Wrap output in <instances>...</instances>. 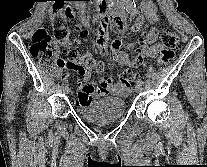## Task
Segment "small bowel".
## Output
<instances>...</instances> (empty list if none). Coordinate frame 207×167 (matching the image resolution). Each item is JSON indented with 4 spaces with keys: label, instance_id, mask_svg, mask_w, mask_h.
<instances>
[{
    "label": "small bowel",
    "instance_id": "1",
    "mask_svg": "<svg viewBox=\"0 0 207 167\" xmlns=\"http://www.w3.org/2000/svg\"><path fill=\"white\" fill-rule=\"evenodd\" d=\"M158 20V16L155 11V7L152 3H145L142 5V15L135 21L132 30L139 32L144 25L152 24ZM115 25L121 30H126L124 20H115ZM87 31L83 30L80 32V37L85 38ZM158 37L159 30L152 27L145 30L142 33V37L136 42L128 45V49H134L136 56L130 59L126 53L122 51V45L118 42H113L111 49L115 60L121 67H138L144 59L154 58L158 54ZM97 46L100 49L101 54L104 56L107 54V23H103L98 32ZM64 69L66 72L63 74L65 80L68 75L75 72L80 77V82L77 89V98L75 104H85L92 101L95 98L105 96H126L131 90L123 85L116 83L111 77H102L97 85L94 82L89 81V74L85 68H73L65 64Z\"/></svg>",
    "mask_w": 207,
    "mask_h": 167
}]
</instances>
